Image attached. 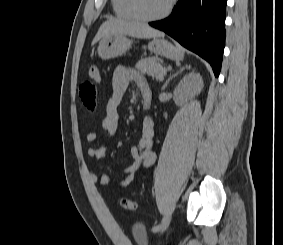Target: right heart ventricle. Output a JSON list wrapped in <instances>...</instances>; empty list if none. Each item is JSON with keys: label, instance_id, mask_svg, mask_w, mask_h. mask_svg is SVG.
<instances>
[{"label": "right heart ventricle", "instance_id": "right-heart-ventricle-1", "mask_svg": "<svg viewBox=\"0 0 283 245\" xmlns=\"http://www.w3.org/2000/svg\"><path fill=\"white\" fill-rule=\"evenodd\" d=\"M112 8L115 15L123 19H136L131 13L128 0H111Z\"/></svg>", "mask_w": 283, "mask_h": 245}]
</instances>
